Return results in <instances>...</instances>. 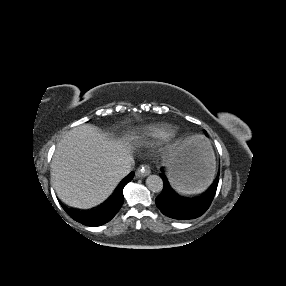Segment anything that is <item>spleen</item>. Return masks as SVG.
Segmentation results:
<instances>
[{"label": "spleen", "mask_w": 286, "mask_h": 286, "mask_svg": "<svg viewBox=\"0 0 286 286\" xmlns=\"http://www.w3.org/2000/svg\"><path fill=\"white\" fill-rule=\"evenodd\" d=\"M206 186L198 187V188H186L184 186L176 185V190L182 195H192L199 194L205 191Z\"/></svg>", "instance_id": "obj_1"}]
</instances>
